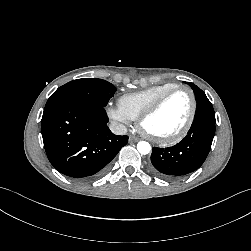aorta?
Masks as SVG:
<instances>
[{"label": "aorta", "instance_id": "1", "mask_svg": "<svg viewBox=\"0 0 251 251\" xmlns=\"http://www.w3.org/2000/svg\"><path fill=\"white\" fill-rule=\"evenodd\" d=\"M137 150L139 151L140 154L146 155L151 151V146L146 141H140L137 144Z\"/></svg>", "mask_w": 251, "mask_h": 251}]
</instances>
